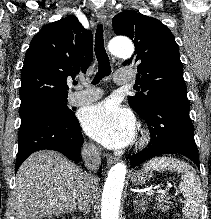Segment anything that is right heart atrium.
<instances>
[{
	"label": "right heart atrium",
	"instance_id": "d8ad5b80",
	"mask_svg": "<svg viewBox=\"0 0 211 219\" xmlns=\"http://www.w3.org/2000/svg\"><path fill=\"white\" fill-rule=\"evenodd\" d=\"M86 149H87L88 151H91V152L96 151V147H95L93 144H91V143H87V144H86Z\"/></svg>",
	"mask_w": 211,
	"mask_h": 219
}]
</instances>
